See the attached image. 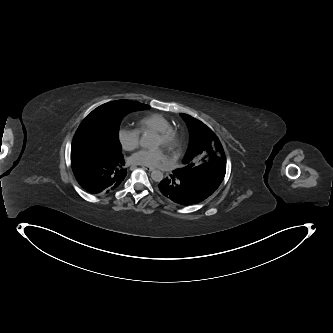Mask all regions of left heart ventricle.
Instances as JSON below:
<instances>
[{
    "mask_svg": "<svg viewBox=\"0 0 333 333\" xmlns=\"http://www.w3.org/2000/svg\"><path fill=\"white\" fill-rule=\"evenodd\" d=\"M151 145L153 148H159V149L165 148L163 138L159 134H156L154 136V139H153Z\"/></svg>",
    "mask_w": 333,
    "mask_h": 333,
    "instance_id": "left-heart-ventricle-1",
    "label": "left heart ventricle"
}]
</instances>
